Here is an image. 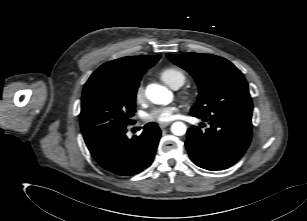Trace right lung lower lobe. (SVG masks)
Segmentation results:
<instances>
[{"label": "right lung lower lobe", "instance_id": "1", "mask_svg": "<svg viewBox=\"0 0 307 221\" xmlns=\"http://www.w3.org/2000/svg\"><path fill=\"white\" fill-rule=\"evenodd\" d=\"M126 132L123 127L87 145L99 165L117 176H133L149 167L161 135L156 123L147 124L143 133L132 139L127 138Z\"/></svg>", "mask_w": 307, "mask_h": 221}]
</instances>
